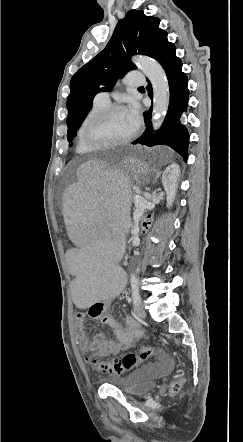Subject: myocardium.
<instances>
[{"mask_svg": "<svg viewBox=\"0 0 243 442\" xmlns=\"http://www.w3.org/2000/svg\"><path fill=\"white\" fill-rule=\"evenodd\" d=\"M120 110H126V108L122 105H108L107 107L103 108L102 110L98 111L90 118H88L82 130V138L84 142L93 149H103L122 146L133 140L137 134V128H135L134 131L126 138L112 142H96L89 136V130L94 123Z\"/></svg>", "mask_w": 243, "mask_h": 442, "instance_id": "obj_1", "label": "myocardium"}]
</instances>
